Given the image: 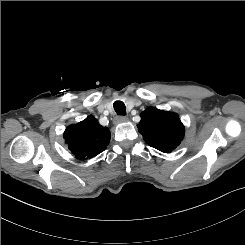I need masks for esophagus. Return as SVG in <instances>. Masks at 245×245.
I'll return each mask as SVG.
<instances>
[{
	"instance_id": "1",
	"label": "esophagus",
	"mask_w": 245,
	"mask_h": 245,
	"mask_svg": "<svg viewBox=\"0 0 245 245\" xmlns=\"http://www.w3.org/2000/svg\"><path fill=\"white\" fill-rule=\"evenodd\" d=\"M127 121H128V118L125 117V116H119V117H117V118L115 119V122H116V123H125V122H127Z\"/></svg>"
}]
</instances>
